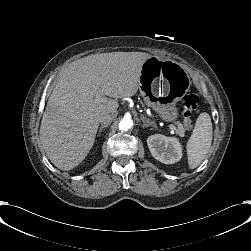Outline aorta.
<instances>
[{
	"instance_id": "obj_1",
	"label": "aorta",
	"mask_w": 251,
	"mask_h": 251,
	"mask_svg": "<svg viewBox=\"0 0 251 251\" xmlns=\"http://www.w3.org/2000/svg\"><path fill=\"white\" fill-rule=\"evenodd\" d=\"M133 126V121L130 118H123L119 123V130L128 131Z\"/></svg>"
}]
</instances>
